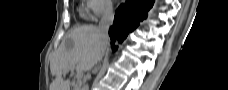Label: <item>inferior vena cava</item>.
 Here are the masks:
<instances>
[{
	"label": "inferior vena cava",
	"instance_id": "obj_1",
	"mask_svg": "<svg viewBox=\"0 0 228 90\" xmlns=\"http://www.w3.org/2000/svg\"><path fill=\"white\" fill-rule=\"evenodd\" d=\"M113 18H114L113 8L112 6L109 5L105 8V11L103 13V16L98 26V33L103 44L102 55L99 60L102 59V56L105 52V45L109 40L108 31H109V27L113 22Z\"/></svg>",
	"mask_w": 228,
	"mask_h": 90
}]
</instances>
